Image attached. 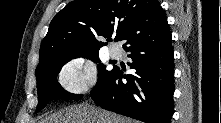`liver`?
Returning a JSON list of instances; mask_svg holds the SVG:
<instances>
[{
	"instance_id": "6515ba94",
	"label": "liver",
	"mask_w": 221,
	"mask_h": 123,
	"mask_svg": "<svg viewBox=\"0 0 221 123\" xmlns=\"http://www.w3.org/2000/svg\"><path fill=\"white\" fill-rule=\"evenodd\" d=\"M42 123H132V120L89 104H79L50 115Z\"/></svg>"
}]
</instances>
